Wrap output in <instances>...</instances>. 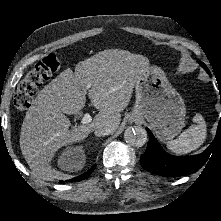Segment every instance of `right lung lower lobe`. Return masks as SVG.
Wrapping results in <instances>:
<instances>
[{"instance_id":"1","label":"right lung lower lobe","mask_w":221,"mask_h":221,"mask_svg":"<svg viewBox=\"0 0 221 221\" xmlns=\"http://www.w3.org/2000/svg\"><path fill=\"white\" fill-rule=\"evenodd\" d=\"M95 167H96V165H93L87 172H85L81 176L71 179L70 181L76 182V181H80V180L88 178L90 176V174L92 173V171L95 169Z\"/></svg>"}]
</instances>
